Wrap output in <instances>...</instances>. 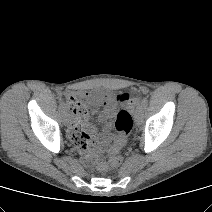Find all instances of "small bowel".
Returning a JSON list of instances; mask_svg holds the SVG:
<instances>
[{
	"label": "small bowel",
	"mask_w": 212,
	"mask_h": 212,
	"mask_svg": "<svg viewBox=\"0 0 212 212\" xmlns=\"http://www.w3.org/2000/svg\"><path fill=\"white\" fill-rule=\"evenodd\" d=\"M77 97L87 100L94 106H102L103 109L99 114V120L105 122L103 132L97 133V128L89 122V109L82 115H74L72 126L68 135L81 149L92 153L105 148L112 149L115 138L110 134V121L116 111V105L110 96L104 92H79Z\"/></svg>",
	"instance_id": "c3829d8e"
}]
</instances>
